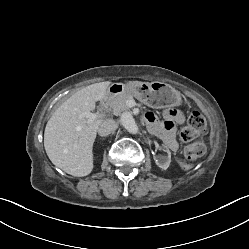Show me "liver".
Segmentation results:
<instances>
[{"mask_svg": "<svg viewBox=\"0 0 249 249\" xmlns=\"http://www.w3.org/2000/svg\"><path fill=\"white\" fill-rule=\"evenodd\" d=\"M111 82L89 85L68 98L49 119L44 147L51 162L64 172L83 177L93 169V144L102 120L91 123L82 117L107 95Z\"/></svg>", "mask_w": 249, "mask_h": 249, "instance_id": "liver-1", "label": "liver"}]
</instances>
